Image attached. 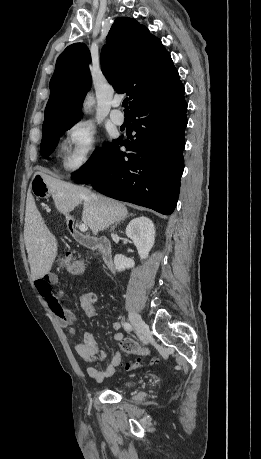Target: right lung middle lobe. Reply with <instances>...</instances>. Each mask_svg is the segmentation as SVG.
I'll return each instance as SVG.
<instances>
[{
  "label": "right lung middle lobe",
  "mask_w": 261,
  "mask_h": 459,
  "mask_svg": "<svg viewBox=\"0 0 261 459\" xmlns=\"http://www.w3.org/2000/svg\"><path fill=\"white\" fill-rule=\"evenodd\" d=\"M75 123L76 122L59 124L42 130V142L40 146V151L45 159L48 158V156L57 146L62 133L70 129ZM112 145L113 143H108L101 150H98L94 155L90 157V159L86 162V164L83 167H81L72 175V178L81 177L86 173L97 168L104 161V158Z\"/></svg>",
  "instance_id": "obj_1"
}]
</instances>
